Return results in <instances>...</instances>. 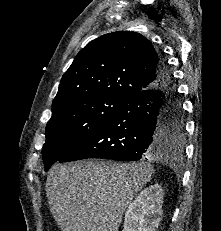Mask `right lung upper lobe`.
<instances>
[{
  "label": "right lung upper lobe",
  "instance_id": "cb5924a9",
  "mask_svg": "<svg viewBox=\"0 0 221 231\" xmlns=\"http://www.w3.org/2000/svg\"><path fill=\"white\" fill-rule=\"evenodd\" d=\"M162 57L136 32L105 34L85 46L63 75L52 113L90 96L128 99L155 85Z\"/></svg>",
  "mask_w": 221,
  "mask_h": 231
}]
</instances>
